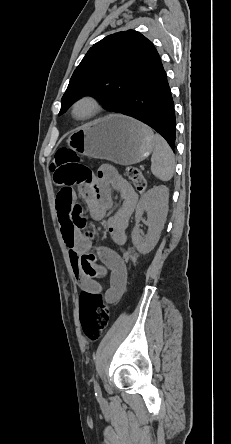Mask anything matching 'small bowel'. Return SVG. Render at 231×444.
I'll return each instance as SVG.
<instances>
[{"label": "small bowel", "instance_id": "small-bowel-1", "mask_svg": "<svg viewBox=\"0 0 231 444\" xmlns=\"http://www.w3.org/2000/svg\"><path fill=\"white\" fill-rule=\"evenodd\" d=\"M112 191L120 194L121 203L110 214L113 206ZM80 192L94 219L107 217L106 227L112 241L118 245L124 244L129 219L137 203V194L132 186L114 167L104 165L90 181L84 182ZM77 207L76 192L73 188L63 186L57 196L58 220L77 281L83 291L100 293L102 287L99 280L109 278L110 287L105 298L108 302H114L126 288L128 273L125 261L108 247L97 248L94 252L95 247L89 235L76 226Z\"/></svg>", "mask_w": 231, "mask_h": 444}]
</instances>
